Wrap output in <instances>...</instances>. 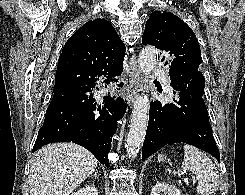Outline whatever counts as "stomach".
<instances>
[{
  "instance_id": "obj_1",
  "label": "stomach",
  "mask_w": 245,
  "mask_h": 195,
  "mask_svg": "<svg viewBox=\"0 0 245 195\" xmlns=\"http://www.w3.org/2000/svg\"><path fill=\"white\" fill-rule=\"evenodd\" d=\"M165 160H167V157H166L165 155L160 154V155L158 156V161H159V162H163V161H165Z\"/></svg>"
}]
</instances>
